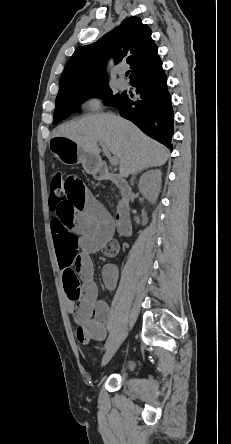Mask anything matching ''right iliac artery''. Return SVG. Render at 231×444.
Wrapping results in <instances>:
<instances>
[{
    "mask_svg": "<svg viewBox=\"0 0 231 444\" xmlns=\"http://www.w3.org/2000/svg\"><path fill=\"white\" fill-rule=\"evenodd\" d=\"M113 338H114V334L112 333V334L109 336L108 341H107L106 344H105V349L109 348V346L111 345V343H112V341H113Z\"/></svg>",
    "mask_w": 231,
    "mask_h": 444,
    "instance_id": "right-iliac-artery-1",
    "label": "right iliac artery"
}]
</instances>
